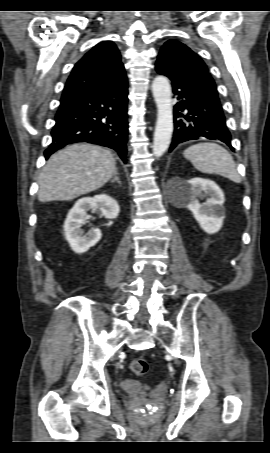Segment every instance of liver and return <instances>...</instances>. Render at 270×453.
I'll return each mask as SVG.
<instances>
[{"mask_svg": "<svg viewBox=\"0 0 270 453\" xmlns=\"http://www.w3.org/2000/svg\"><path fill=\"white\" fill-rule=\"evenodd\" d=\"M110 151L91 144H74L53 154L41 171L40 202L72 200L101 188L114 175Z\"/></svg>", "mask_w": 270, "mask_h": 453, "instance_id": "liver-1", "label": "liver"}]
</instances>
